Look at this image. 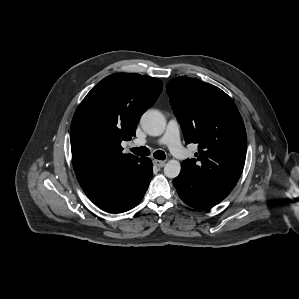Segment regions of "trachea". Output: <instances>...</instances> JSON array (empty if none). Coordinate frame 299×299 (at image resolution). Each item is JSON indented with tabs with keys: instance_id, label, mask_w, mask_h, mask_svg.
Wrapping results in <instances>:
<instances>
[{
	"instance_id": "3493384b",
	"label": "trachea",
	"mask_w": 299,
	"mask_h": 299,
	"mask_svg": "<svg viewBox=\"0 0 299 299\" xmlns=\"http://www.w3.org/2000/svg\"><path fill=\"white\" fill-rule=\"evenodd\" d=\"M131 151L137 156H148L150 155V150L147 147H136L132 148ZM154 158L158 160H165L166 155L165 152L162 150H157L153 153Z\"/></svg>"
}]
</instances>
